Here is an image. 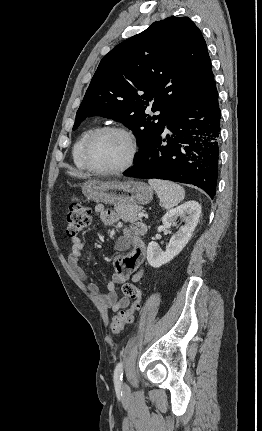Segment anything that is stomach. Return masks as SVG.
Listing matches in <instances>:
<instances>
[{
    "instance_id": "obj_1",
    "label": "stomach",
    "mask_w": 262,
    "mask_h": 431,
    "mask_svg": "<svg viewBox=\"0 0 262 431\" xmlns=\"http://www.w3.org/2000/svg\"><path fill=\"white\" fill-rule=\"evenodd\" d=\"M82 193L87 199L109 205L138 206L149 203L153 189L142 181H100L88 180L82 185Z\"/></svg>"
}]
</instances>
